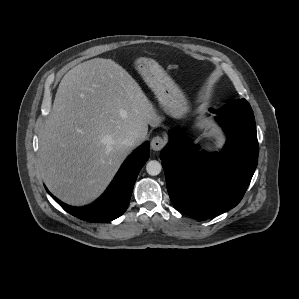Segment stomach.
Wrapping results in <instances>:
<instances>
[{
	"label": "stomach",
	"mask_w": 299,
	"mask_h": 299,
	"mask_svg": "<svg viewBox=\"0 0 299 299\" xmlns=\"http://www.w3.org/2000/svg\"><path fill=\"white\" fill-rule=\"evenodd\" d=\"M137 69L148 86L155 91L166 112L180 118L187 111L185 99L177 85L155 61L140 59Z\"/></svg>",
	"instance_id": "0dacf381"
}]
</instances>
